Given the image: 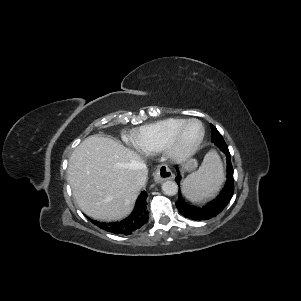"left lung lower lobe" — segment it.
Here are the masks:
<instances>
[{
  "mask_svg": "<svg viewBox=\"0 0 301 301\" xmlns=\"http://www.w3.org/2000/svg\"><path fill=\"white\" fill-rule=\"evenodd\" d=\"M212 142L218 146L221 151L226 155L227 160V175H226V183L224 185L223 190L219 193V195L213 199L212 201L208 202L204 206L197 207L191 206L187 204L181 196L179 192V198L176 201V206L179 212L192 220H208L212 217L218 215L230 202L233 193H234V179H233V167L231 163L230 153L228 147L224 140L219 139L216 134H211ZM177 170V177L176 182L179 184L181 180V176L179 173L178 168Z\"/></svg>",
  "mask_w": 301,
  "mask_h": 301,
  "instance_id": "left-lung-lower-lobe-1",
  "label": "left lung lower lobe"
}]
</instances>
